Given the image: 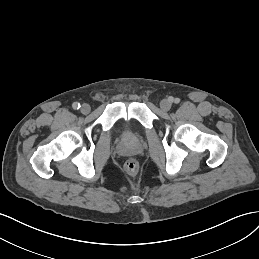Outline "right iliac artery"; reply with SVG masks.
Returning a JSON list of instances; mask_svg holds the SVG:
<instances>
[{
  "instance_id": "82829eb1",
  "label": "right iliac artery",
  "mask_w": 259,
  "mask_h": 259,
  "mask_svg": "<svg viewBox=\"0 0 259 259\" xmlns=\"http://www.w3.org/2000/svg\"><path fill=\"white\" fill-rule=\"evenodd\" d=\"M72 107H73L74 109H79V108H80V104H79L78 102H74V103L72 104Z\"/></svg>"
}]
</instances>
